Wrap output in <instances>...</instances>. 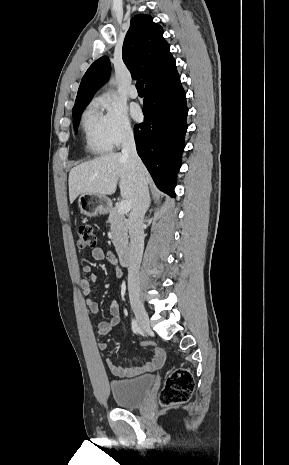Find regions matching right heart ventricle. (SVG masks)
Segmentation results:
<instances>
[{
  "mask_svg": "<svg viewBox=\"0 0 289 465\" xmlns=\"http://www.w3.org/2000/svg\"><path fill=\"white\" fill-rule=\"evenodd\" d=\"M81 127L88 151L94 154H104L112 149L105 133L103 114L96 102L92 103L83 113Z\"/></svg>",
  "mask_w": 289,
  "mask_h": 465,
  "instance_id": "1",
  "label": "right heart ventricle"
}]
</instances>
